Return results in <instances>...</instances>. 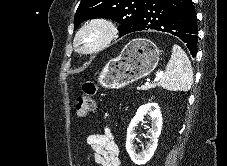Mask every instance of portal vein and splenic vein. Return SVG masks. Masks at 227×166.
<instances>
[{"label":"portal vein and splenic vein","instance_id":"18ae733b","mask_svg":"<svg viewBox=\"0 0 227 166\" xmlns=\"http://www.w3.org/2000/svg\"><path fill=\"white\" fill-rule=\"evenodd\" d=\"M162 74L163 73H159L158 75H156V78H155L154 81H158L160 79V77L162 76ZM145 85L148 86L149 85V82H146Z\"/></svg>","mask_w":227,"mask_h":166}]
</instances>
